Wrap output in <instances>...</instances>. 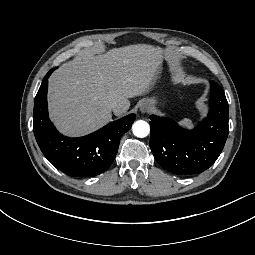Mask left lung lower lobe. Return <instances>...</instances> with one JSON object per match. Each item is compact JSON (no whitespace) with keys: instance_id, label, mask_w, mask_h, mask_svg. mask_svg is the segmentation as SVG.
<instances>
[{"instance_id":"0a47b994","label":"left lung lower lobe","mask_w":255,"mask_h":255,"mask_svg":"<svg viewBox=\"0 0 255 255\" xmlns=\"http://www.w3.org/2000/svg\"><path fill=\"white\" fill-rule=\"evenodd\" d=\"M211 84V110L195 129L185 130L174 121L151 115L150 148L160 166L176 175L208 169L219 157L228 136V102L223 89Z\"/></svg>"}]
</instances>
